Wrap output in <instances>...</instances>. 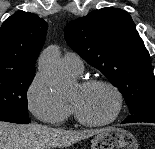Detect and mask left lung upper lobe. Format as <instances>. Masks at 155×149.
<instances>
[{"mask_svg": "<svg viewBox=\"0 0 155 149\" xmlns=\"http://www.w3.org/2000/svg\"><path fill=\"white\" fill-rule=\"evenodd\" d=\"M68 45L123 94L131 115L155 104L150 55L126 11L106 7L67 24Z\"/></svg>", "mask_w": 155, "mask_h": 149, "instance_id": "left-lung-upper-lobe-1", "label": "left lung upper lobe"}]
</instances>
